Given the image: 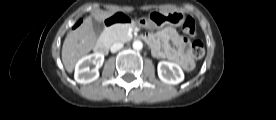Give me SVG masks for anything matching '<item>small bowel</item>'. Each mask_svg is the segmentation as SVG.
<instances>
[{"label": "small bowel", "instance_id": "small-bowel-1", "mask_svg": "<svg viewBox=\"0 0 276 120\" xmlns=\"http://www.w3.org/2000/svg\"><path fill=\"white\" fill-rule=\"evenodd\" d=\"M143 36L146 37L145 41L156 58H166L187 71L194 67V61L188 54L187 40L176 30L165 28L156 34L145 33Z\"/></svg>", "mask_w": 276, "mask_h": 120}]
</instances>
